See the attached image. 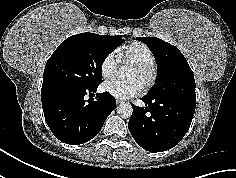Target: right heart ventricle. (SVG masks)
Segmentation results:
<instances>
[{"instance_id":"e07e8e85","label":"right heart ventricle","mask_w":236,"mask_h":178,"mask_svg":"<svg viewBox=\"0 0 236 178\" xmlns=\"http://www.w3.org/2000/svg\"><path fill=\"white\" fill-rule=\"evenodd\" d=\"M116 56L121 64H132L136 62L150 65L155 64L153 52L147 45L141 42H132L124 45L117 51Z\"/></svg>"}]
</instances>
